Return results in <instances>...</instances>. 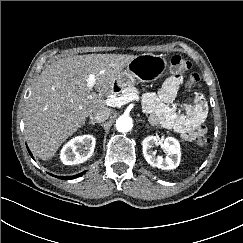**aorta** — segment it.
<instances>
[{"label": "aorta", "instance_id": "762f6f07", "mask_svg": "<svg viewBox=\"0 0 243 243\" xmlns=\"http://www.w3.org/2000/svg\"><path fill=\"white\" fill-rule=\"evenodd\" d=\"M133 127V121L129 116L122 115L116 120V129L119 132H128Z\"/></svg>", "mask_w": 243, "mask_h": 243}]
</instances>
